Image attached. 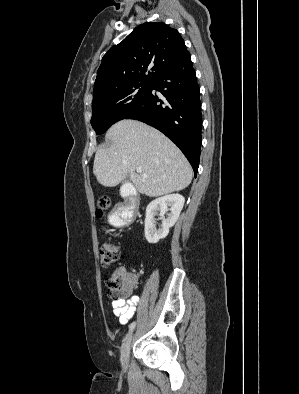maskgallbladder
Masks as SVG:
<instances>
[{
    "mask_svg": "<svg viewBox=\"0 0 299 394\" xmlns=\"http://www.w3.org/2000/svg\"><path fill=\"white\" fill-rule=\"evenodd\" d=\"M128 181H129V179H128V178H125L124 181H123V183H127Z\"/></svg>",
    "mask_w": 299,
    "mask_h": 394,
    "instance_id": "obj_1",
    "label": "gallbladder"
}]
</instances>
